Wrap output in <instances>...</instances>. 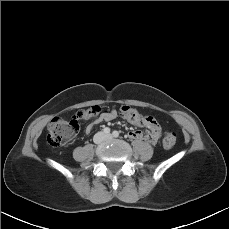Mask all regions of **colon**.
<instances>
[{"label":"colon","instance_id":"5ec220e1","mask_svg":"<svg viewBox=\"0 0 229 229\" xmlns=\"http://www.w3.org/2000/svg\"><path fill=\"white\" fill-rule=\"evenodd\" d=\"M123 117L133 123L141 124L145 117L135 108L123 105L120 108ZM102 109L99 106H92L75 113L71 120L55 117L47 127V142L53 147H61L67 143L70 137L78 130L79 121L97 118ZM163 146L167 149L173 148L177 143V136L174 132H168L163 137Z\"/></svg>","mask_w":229,"mask_h":229}]
</instances>
